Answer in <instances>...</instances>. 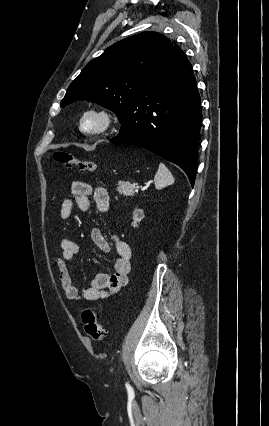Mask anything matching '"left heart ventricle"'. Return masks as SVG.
Wrapping results in <instances>:
<instances>
[{
    "instance_id": "left-heart-ventricle-1",
    "label": "left heart ventricle",
    "mask_w": 269,
    "mask_h": 426,
    "mask_svg": "<svg viewBox=\"0 0 269 426\" xmlns=\"http://www.w3.org/2000/svg\"><path fill=\"white\" fill-rule=\"evenodd\" d=\"M95 125H96V120H94V119H88L86 121V127H88V128L94 127Z\"/></svg>"
}]
</instances>
